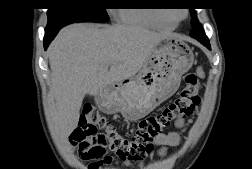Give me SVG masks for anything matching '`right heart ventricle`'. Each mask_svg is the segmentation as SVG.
<instances>
[{
	"label": "right heart ventricle",
	"mask_w": 252,
	"mask_h": 169,
	"mask_svg": "<svg viewBox=\"0 0 252 169\" xmlns=\"http://www.w3.org/2000/svg\"><path fill=\"white\" fill-rule=\"evenodd\" d=\"M119 20L134 26L170 31L176 27V23L165 15L141 9L122 8L116 12Z\"/></svg>",
	"instance_id": "e07e8e85"
}]
</instances>
